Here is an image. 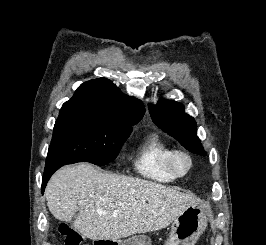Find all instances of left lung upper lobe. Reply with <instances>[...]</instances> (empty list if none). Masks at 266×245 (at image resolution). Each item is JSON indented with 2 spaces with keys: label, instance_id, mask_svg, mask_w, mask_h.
I'll return each mask as SVG.
<instances>
[{
  "label": "left lung upper lobe",
  "instance_id": "obj_1",
  "mask_svg": "<svg viewBox=\"0 0 266 245\" xmlns=\"http://www.w3.org/2000/svg\"><path fill=\"white\" fill-rule=\"evenodd\" d=\"M153 122L164 132L176 138L187 150L206 155L197 137L194 118L184 114L183 106L173 100L161 99L156 105L149 104Z\"/></svg>",
  "mask_w": 266,
  "mask_h": 245
}]
</instances>
